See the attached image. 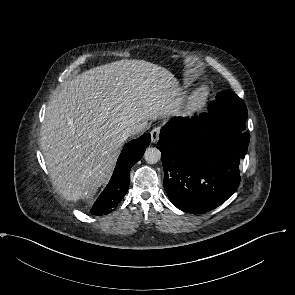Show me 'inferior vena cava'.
I'll return each instance as SVG.
<instances>
[{
	"label": "inferior vena cava",
	"mask_w": 295,
	"mask_h": 295,
	"mask_svg": "<svg viewBox=\"0 0 295 295\" xmlns=\"http://www.w3.org/2000/svg\"><path fill=\"white\" fill-rule=\"evenodd\" d=\"M139 127H127L118 135V140L124 142L130 135L139 132Z\"/></svg>",
	"instance_id": "obj_1"
}]
</instances>
